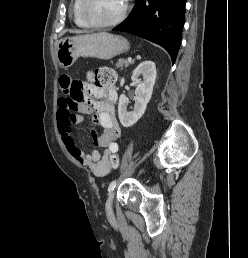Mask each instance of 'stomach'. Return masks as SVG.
<instances>
[{"label":"stomach","mask_w":248,"mask_h":258,"mask_svg":"<svg viewBox=\"0 0 248 258\" xmlns=\"http://www.w3.org/2000/svg\"><path fill=\"white\" fill-rule=\"evenodd\" d=\"M129 42L122 36L106 32L62 38L56 45V56L62 68L71 67L79 57L111 59L126 52Z\"/></svg>","instance_id":"stomach-1"}]
</instances>
